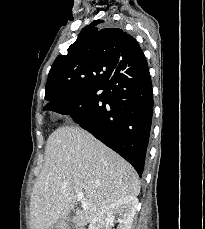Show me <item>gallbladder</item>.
<instances>
[{"label": "gallbladder", "instance_id": "gallbladder-1", "mask_svg": "<svg viewBox=\"0 0 205 229\" xmlns=\"http://www.w3.org/2000/svg\"><path fill=\"white\" fill-rule=\"evenodd\" d=\"M74 216L75 213L70 212L66 220L61 219L56 224L49 227L48 229H60L61 227H63V229H74V223H73Z\"/></svg>", "mask_w": 205, "mask_h": 229}]
</instances>
